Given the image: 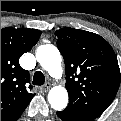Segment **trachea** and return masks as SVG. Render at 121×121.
Returning <instances> with one entry per match:
<instances>
[{"mask_svg":"<svg viewBox=\"0 0 121 121\" xmlns=\"http://www.w3.org/2000/svg\"><path fill=\"white\" fill-rule=\"evenodd\" d=\"M45 82V77L43 75V73L41 71H37L34 73V76H33V85H43Z\"/></svg>","mask_w":121,"mask_h":121,"instance_id":"obj_1","label":"trachea"}]
</instances>
